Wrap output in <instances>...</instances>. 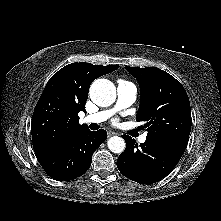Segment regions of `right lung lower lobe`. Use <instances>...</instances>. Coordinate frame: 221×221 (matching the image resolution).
<instances>
[{"mask_svg": "<svg viewBox=\"0 0 221 221\" xmlns=\"http://www.w3.org/2000/svg\"><path fill=\"white\" fill-rule=\"evenodd\" d=\"M106 138L105 130L90 131L87 128L37 158L45 172L53 179L72 180L90 168L94 151Z\"/></svg>", "mask_w": 221, "mask_h": 221, "instance_id": "right-lung-lower-lobe-1", "label": "right lung lower lobe"}]
</instances>
